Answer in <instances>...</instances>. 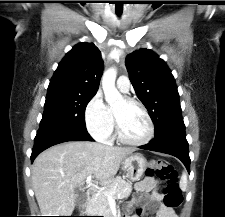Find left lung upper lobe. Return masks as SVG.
<instances>
[{
  "label": "left lung upper lobe",
  "mask_w": 225,
  "mask_h": 217,
  "mask_svg": "<svg viewBox=\"0 0 225 217\" xmlns=\"http://www.w3.org/2000/svg\"><path fill=\"white\" fill-rule=\"evenodd\" d=\"M125 63L135 92L154 123L155 136L184 125L177 86L166 63L148 49L128 54Z\"/></svg>",
  "instance_id": "5c2ea615"
}]
</instances>
